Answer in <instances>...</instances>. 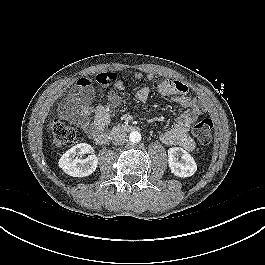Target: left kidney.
I'll return each instance as SVG.
<instances>
[{
	"instance_id": "obj_1",
	"label": "left kidney",
	"mask_w": 265,
	"mask_h": 265,
	"mask_svg": "<svg viewBox=\"0 0 265 265\" xmlns=\"http://www.w3.org/2000/svg\"><path fill=\"white\" fill-rule=\"evenodd\" d=\"M168 164L171 172L178 177H190L197 171L194 158L184 149L172 147L168 149Z\"/></svg>"
}]
</instances>
